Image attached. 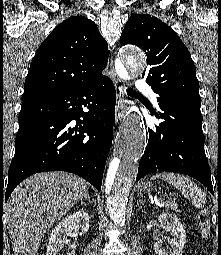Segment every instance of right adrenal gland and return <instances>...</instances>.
Returning <instances> with one entry per match:
<instances>
[{"label": "right adrenal gland", "instance_id": "2a0ac1e0", "mask_svg": "<svg viewBox=\"0 0 221 255\" xmlns=\"http://www.w3.org/2000/svg\"><path fill=\"white\" fill-rule=\"evenodd\" d=\"M90 200V196H89V193L87 192V190L85 191L84 195L81 197L80 201L82 203L83 200Z\"/></svg>", "mask_w": 221, "mask_h": 255}]
</instances>
